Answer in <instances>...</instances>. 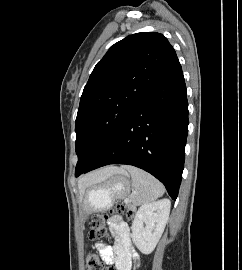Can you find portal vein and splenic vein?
I'll list each match as a JSON object with an SVG mask.
<instances>
[{"label":"portal vein and splenic vein","instance_id":"18ae733b","mask_svg":"<svg viewBox=\"0 0 242 270\" xmlns=\"http://www.w3.org/2000/svg\"><path fill=\"white\" fill-rule=\"evenodd\" d=\"M124 201H125V203H129L130 200H129V198H126Z\"/></svg>","mask_w":242,"mask_h":270}]
</instances>
